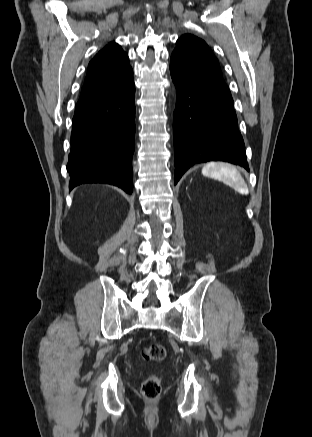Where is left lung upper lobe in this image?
<instances>
[{
    "mask_svg": "<svg viewBox=\"0 0 312 437\" xmlns=\"http://www.w3.org/2000/svg\"><path fill=\"white\" fill-rule=\"evenodd\" d=\"M173 53L223 81L219 63L203 40L189 34L183 35L177 40Z\"/></svg>",
    "mask_w": 312,
    "mask_h": 437,
    "instance_id": "obj_1",
    "label": "left lung upper lobe"
}]
</instances>
